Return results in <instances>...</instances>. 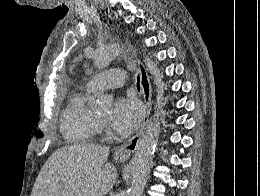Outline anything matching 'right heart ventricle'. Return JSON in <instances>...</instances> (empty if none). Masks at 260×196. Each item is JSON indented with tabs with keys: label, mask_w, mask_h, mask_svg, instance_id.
I'll list each match as a JSON object with an SVG mask.
<instances>
[{
	"label": "right heart ventricle",
	"mask_w": 260,
	"mask_h": 196,
	"mask_svg": "<svg viewBox=\"0 0 260 196\" xmlns=\"http://www.w3.org/2000/svg\"><path fill=\"white\" fill-rule=\"evenodd\" d=\"M97 92L90 83L75 85L70 92V100L62 115L64 135L77 143H93L94 138L87 131L97 129L95 113L89 107V101ZM78 134V132H83ZM56 192V190H50Z\"/></svg>",
	"instance_id": "e07e8e85"
}]
</instances>
